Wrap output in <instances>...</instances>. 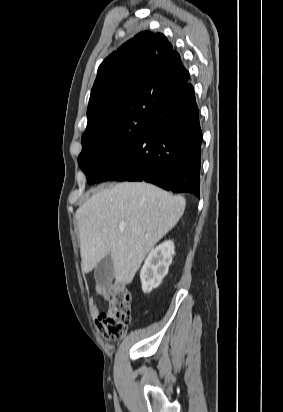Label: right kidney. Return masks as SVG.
<instances>
[{"mask_svg":"<svg viewBox=\"0 0 283 412\" xmlns=\"http://www.w3.org/2000/svg\"><path fill=\"white\" fill-rule=\"evenodd\" d=\"M174 249V243L169 240L150 251L140 272L144 293H150L161 284L172 263V257L175 254Z\"/></svg>","mask_w":283,"mask_h":412,"instance_id":"ca27d5eb","label":"right kidney"}]
</instances>
